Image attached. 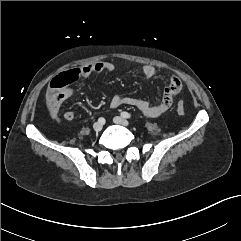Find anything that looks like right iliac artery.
<instances>
[{
    "instance_id": "82829eb1",
    "label": "right iliac artery",
    "mask_w": 241,
    "mask_h": 241,
    "mask_svg": "<svg viewBox=\"0 0 241 241\" xmlns=\"http://www.w3.org/2000/svg\"><path fill=\"white\" fill-rule=\"evenodd\" d=\"M98 121H99L100 123H102V124H104V123H105V119H104V118H102V117H101V118H99V119H98Z\"/></svg>"
}]
</instances>
